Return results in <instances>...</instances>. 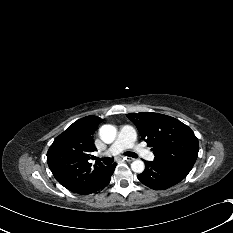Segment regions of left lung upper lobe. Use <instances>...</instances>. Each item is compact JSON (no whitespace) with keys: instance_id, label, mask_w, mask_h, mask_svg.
I'll use <instances>...</instances> for the list:
<instances>
[{"instance_id":"1","label":"left lung upper lobe","mask_w":233,"mask_h":233,"mask_svg":"<svg viewBox=\"0 0 233 233\" xmlns=\"http://www.w3.org/2000/svg\"><path fill=\"white\" fill-rule=\"evenodd\" d=\"M142 138L153 147L154 162L186 177L198 156L199 143L194 132L176 118L152 112L126 115Z\"/></svg>"}]
</instances>
